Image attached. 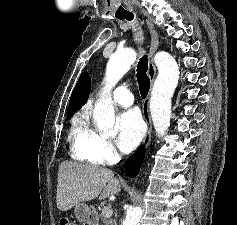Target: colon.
<instances>
[{"label":"colon","instance_id":"obj_1","mask_svg":"<svg viewBox=\"0 0 237 225\" xmlns=\"http://www.w3.org/2000/svg\"><path fill=\"white\" fill-rule=\"evenodd\" d=\"M59 225H76L75 223L70 222L68 219H61Z\"/></svg>","mask_w":237,"mask_h":225}]
</instances>
